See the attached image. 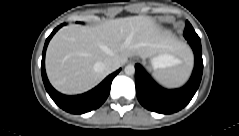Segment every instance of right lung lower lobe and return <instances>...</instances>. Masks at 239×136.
Segmentation results:
<instances>
[{"instance_id": "1", "label": "right lung lower lobe", "mask_w": 239, "mask_h": 136, "mask_svg": "<svg viewBox=\"0 0 239 136\" xmlns=\"http://www.w3.org/2000/svg\"><path fill=\"white\" fill-rule=\"evenodd\" d=\"M64 24L59 25L57 28L53 30L50 36L46 39L43 54H42V62H41V73L44 86L46 91L52 98V100L63 110L73 113V114H83L94 109L100 107L105 100L107 99L111 83L113 78L120 72L121 69L117 70L116 72L110 74L106 77L98 86L93 88L92 90L75 96H67L57 92L49 83L48 78L45 72V52L47 45L52 38V36L56 33V31L61 28Z\"/></svg>"}]
</instances>
